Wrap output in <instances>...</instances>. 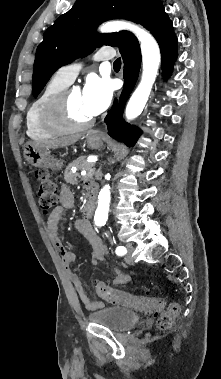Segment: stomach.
Wrapping results in <instances>:
<instances>
[{"mask_svg": "<svg viewBox=\"0 0 221 379\" xmlns=\"http://www.w3.org/2000/svg\"><path fill=\"white\" fill-rule=\"evenodd\" d=\"M86 139L88 146L92 149L100 148L103 145V138L94 133L87 134ZM24 156L28 164L34 167L61 170L64 165L63 160L54 158L49 150L30 144L25 146Z\"/></svg>", "mask_w": 221, "mask_h": 379, "instance_id": "obj_1", "label": "stomach"}]
</instances>
